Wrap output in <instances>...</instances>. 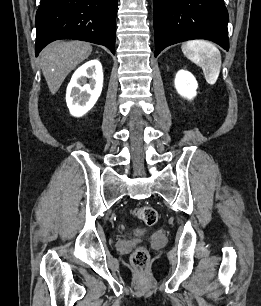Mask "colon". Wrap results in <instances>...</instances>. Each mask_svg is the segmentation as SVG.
I'll use <instances>...</instances> for the list:
<instances>
[{"label": "colon", "mask_w": 261, "mask_h": 306, "mask_svg": "<svg viewBox=\"0 0 261 306\" xmlns=\"http://www.w3.org/2000/svg\"><path fill=\"white\" fill-rule=\"evenodd\" d=\"M134 216L147 226L155 225L158 220L157 211L148 205L137 207ZM147 260L148 252L144 247H138L132 254V262L138 267H144Z\"/></svg>", "instance_id": "5ec220e1"}]
</instances>
